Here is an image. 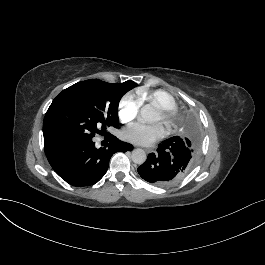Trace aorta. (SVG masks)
<instances>
[{
    "mask_svg": "<svg viewBox=\"0 0 265 265\" xmlns=\"http://www.w3.org/2000/svg\"><path fill=\"white\" fill-rule=\"evenodd\" d=\"M139 120L141 122H151L152 120V109L150 106H144L139 114ZM132 161L136 164H143L146 161V153L143 149H135L131 153Z\"/></svg>",
    "mask_w": 265,
    "mask_h": 265,
    "instance_id": "762f6f07",
    "label": "aorta"
}]
</instances>
